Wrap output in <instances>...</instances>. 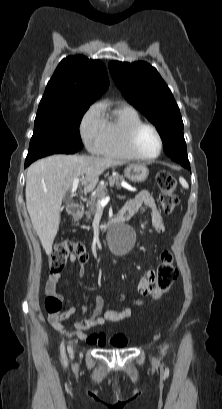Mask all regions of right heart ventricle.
<instances>
[{"mask_svg": "<svg viewBox=\"0 0 222 409\" xmlns=\"http://www.w3.org/2000/svg\"><path fill=\"white\" fill-rule=\"evenodd\" d=\"M103 117L105 128L98 154L117 160L137 159L128 148L127 138L130 130L142 123L138 111L132 106L120 104Z\"/></svg>", "mask_w": 222, "mask_h": 409, "instance_id": "e07e8e85", "label": "right heart ventricle"}]
</instances>
